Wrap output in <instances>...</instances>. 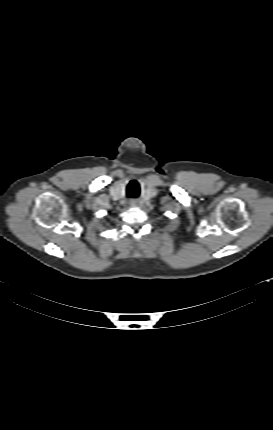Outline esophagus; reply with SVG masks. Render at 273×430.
Instances as JSON below:
<instances>
[{
	"mask_svg": "<svg viewBox=\"0 0 273 430\" xmlns=\"http://www.w3.org/2000/svg\"><path fill=\"white\" fill-rule=\"evenodd\" d=\"M135 204L134 203H131V206H134Z\"/></svg>",
	"mask_w": 273,
	"mask_h": 430,
	"instance_id": "obj_1",
	"label": "esophagus"
}]
</instances>
